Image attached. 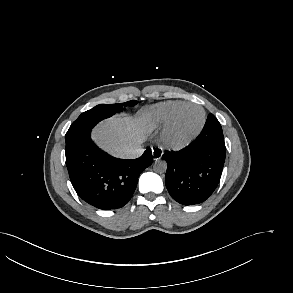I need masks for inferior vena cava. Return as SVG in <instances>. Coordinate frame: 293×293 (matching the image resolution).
Listing matches in <instances>:
<instances>
[{"mask_svg":"<svg viewBox=\"0 0 293 293\" xmlns=\"http://www.w3.org/2000/svg\"><path fill=\"white\" fill-rule=\"evenodd\" d=\"M143 152H144V148L141 145L130 147L124 152L123 158L135 159V158L140 157L143 154Z\"/></svg>","mask_w":293,"mask_h":293,"instance_id":"602c4592","label":"inferior vena cava"}]
</instances>
